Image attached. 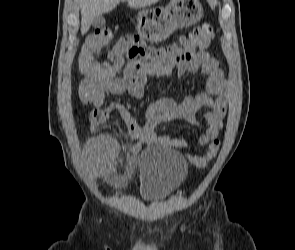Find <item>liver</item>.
I'll list each match as a JSON object with an SVG mask.
<instances>
[{
    "label": "liver",
    "mask_w": 295,
    "mask_h": 250,
    "mask_svg": "<svg viewBox=\"0 0 295 250\" xmlns=\"http://www.w3.org/2000/svg\"><path fill=\"white\" fill-rule=\"evenodd\" d=\"M160 0H80L81 33L86 34L95 17L111 12L120 2H128L134 9L145 8Z\"/></svg>",
    "instance_id": "liver-1"
}]
</instances>
